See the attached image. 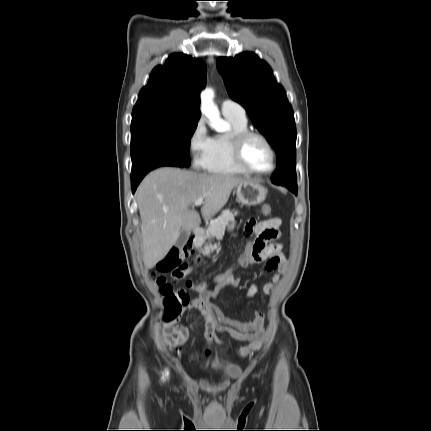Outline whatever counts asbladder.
Instances as JSON below:
<instances>
[{"label":"bladder","mask_w":431,"mask_h":431,"mask_svg":"<svg viewBox=\"0 0 431 431\" xmlns=\"http://www.w3.org/2000/svg\"><path fill=\"white\" fill-rule=\"evenodd\" d=\"M240 368L236 364H226L221 367H218L214 370V372L224 379H234L238 376Z\"/></svg>","instance_id":"1"}]
</instances>
